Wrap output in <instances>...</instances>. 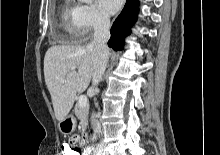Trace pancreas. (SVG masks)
I'll use <instances>...</instances> for the list:
<instances>
[{
  "label": "pancreas",
  "mask_w": 220,
  "mask_h": 155,
  "mask_svg": "<svg viewBox=\"0 0 220 155\" xmlns=\"http://www.w3.org/2000/svg\"><path fill=\"white\" fill-rule=\"evenodd\" d=\"M74 113L76 117L80 120L82 130L84 131L88 123V106L86 105L85 107H80L77 103L74 107Z\"/></svg>",
  "instance_id": "obj_1"
}]
</instances>
